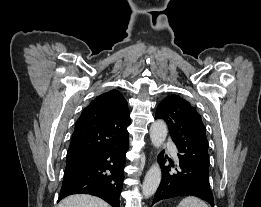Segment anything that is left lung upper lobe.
I'll list each match as a JSON object with an SVG mask.
<instances>
[{
    "instance_id": "left-lung-upper-lobe-1",
    "label": "left lung upper lobe",
    "mask_w": 261,
    "mask_h": 207,
    "mask_svg": "<svg viewBox=\"0 0 261 207\" xmlns=\"http://www.w3.org/2000/svg\"><path fill=\"white\" fill-rule=\"evenodd\" d=\"M155 119H164L179 157L209 171L208 142L200 115L177 95L167 96L157 107Z\"/></svg>"
}]
</instances>
